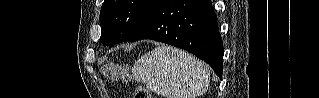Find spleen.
<instances>
[{"label":"spleen","mask_w":319,"mask_h":98,"mask_svg":"<svg viewBox=\"0 0 319 98\" xmlns=\"http://www.w3.org/2000/svg\"><path fill=\"white\" fill-rule=\"evenodd\" d=\"M137 82L166 98H195L209 84V70L197 58L170 46H159L141 56L132 68Z\"/></svg>","instance_id":"3e777b00"}]
</instances>
